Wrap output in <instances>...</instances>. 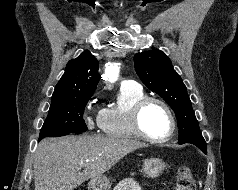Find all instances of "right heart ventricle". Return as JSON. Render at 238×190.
I'll use <instances>...</instances> for the list:
<instances>
[{
	"label": "right heart ventricle",
	"mask_w": 238,
	"mask_h": 190,
	"mask_svg": "<svg viewBox=\"0 0 238 190\" xmlns=\"http://www.w3.org/2000/svg\"><path fill=\"white\" fill-rule=\"evenodd\" d=\"M144 97L146 96L141 88H121L117 105L102 110L100 124L102 132L114 138L137 139L130 116L134 104Z\"/></svg>",
	"instance_id": "right-heart-ventricle-1"
}]
</instances>
